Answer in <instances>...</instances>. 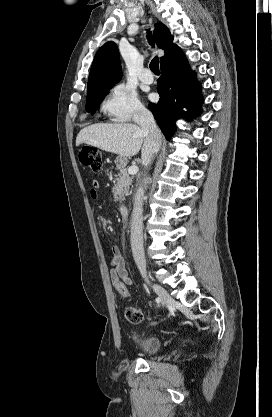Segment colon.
<instances>
[{"label": "colon", "mask_w": 272, "mask_h": 417, "mask_svg": "<svg viewBox=\"0 0 272 417\" xmlns=\"http://www.w3.org/2000/svg\"><path fill=\"white\" fill-rule=\"evenodd\" d=\"M80 161L83 165L89 167L93 171H98L102 167L101 153L92 146H83L79 153ZM115 290L122 296L128 297L129 291L127 286L120 280L113 283ZM124 316L127 321L138 324L143 320L141 309L134 304L127 305L124 308Z\"/></svg>", "instance_id": "5ec220e1"}]
</instances>
